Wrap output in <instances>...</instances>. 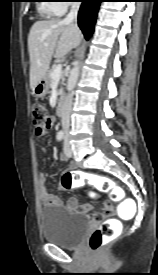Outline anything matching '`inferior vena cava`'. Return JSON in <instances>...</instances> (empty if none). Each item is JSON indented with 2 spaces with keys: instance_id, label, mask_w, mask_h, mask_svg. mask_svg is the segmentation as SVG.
<instances>
[{
  "instance_id": "obj_1",
  "label": "inferior vena cava",
  "mask_w": 158,
  "mask_h": 275,
  "mask_svg": "<svg viewBox=\"0 0 158 275\" xmlns=\"http://www.w3.org/2000/svg\"><path fill=\"white\" fill-rule=\"evenodd\" d=\"M79 7H80V4L78 2H74L71 6V10L69 14L63 20V22L76 24ZM72 103H73L72 94H68L61 108V122H62V127L64 130L65 136H68V133H69Z\"/></svg>"
}]
</instances>
